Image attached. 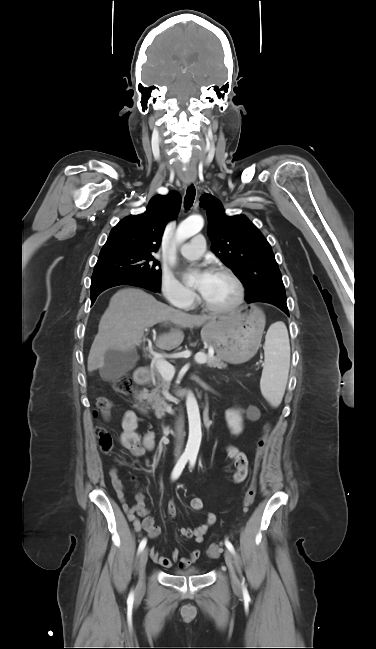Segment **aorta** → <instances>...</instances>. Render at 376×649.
Segmentation results:
<instances>
[{"label":"aorta","mask_w":376,"mask_h":649,"mask_svg":"<svg viewBox=\"0 0 376 649\" xmlns=\"http://www.w3.org/2000/svg\"><path fill=\"white\" fill-rule=\"evenodd\" d=\"M204 221L199 215L190 216L181 222L176 230L175 241L182 243L196 235L203 228ZM186 407L189 421V436L185 452L190 455H197L201 443L202 431L200 413L197 400L192 393L187 395Z\"/></svg>","instance_id":"762f6f07"}]
</instances>
